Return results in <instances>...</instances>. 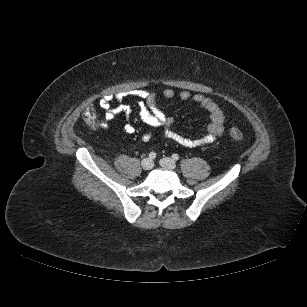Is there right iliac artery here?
Instances as JSON below:
<instances>
[{
    "label": "right iliac artery",
    "mask_w": 307,
    "mask_h": 307,
    "mask_svg": "<svg viewBox=\"0 0 307 307\" xmlns=\"http://www.w3.org/2000/svg\"><path fill=\"white\" fill-rule=\"evenodd\" d=\"M156 158V153L155 152H150L149 153V159H155Z\"/></svg>",
    "instance_id": "obj_1"
}]
</instances>
